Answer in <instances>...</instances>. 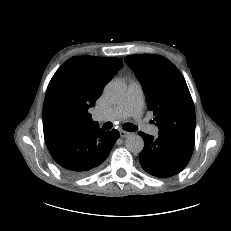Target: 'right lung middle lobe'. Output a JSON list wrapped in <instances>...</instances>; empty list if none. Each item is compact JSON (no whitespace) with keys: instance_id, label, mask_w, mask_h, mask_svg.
Here are the masks:
<instances>
[{"instance_id":"obj_1","label":"right lung middle lobe","mask_w":231,"mask_h":231,"mask_svg":"<svg viewBox=\"0 0 231 231\" xmlns=\"http://www.w3.org/2000/svg\"><path fill=\"white\" fill-rule=\"evenodd\" d=\"M49 114H50V121H51L53 127L58 128L63 124V122L65 120L66 109L61 104L54 103L50 107Z\"/></svg>"}]
</instances>
